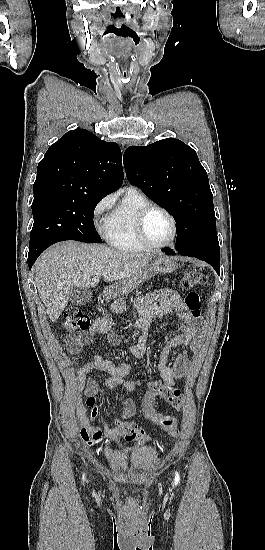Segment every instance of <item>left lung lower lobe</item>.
Here are the masks:
<instances>
[{
	"instance_id": "left-lung-lower-lobe-1",
	"label": "left lung lower lobe",
	"mask_w": 265,
	"mask_h": 550,
	"mask_svg": "<svg viewBox=\"0 0 265 550\" xmlns=\"http://www.w3.org/2000/svg\"><path fill=\"white\" fill-rule=\"evenodd\" d=\"M162 251L165 252V254H167V255L176 254L175 251H173L172 249H169V248H164ZM177 252L179 254L183 255V256H192V257H196L200 260H204L207 263H209L216 270V272L218 274L220 272V257L218 255L210 252V251L185 253V252H179L177 250Z\"/></svg>"
}]
</instances>
